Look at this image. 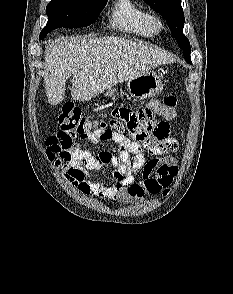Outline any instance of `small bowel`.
<instances>
[{"mask_svg": "<svg viewBox=\"0 0 233 294\" xmlns=\"http://www.w3.org/2000/svg\"><path fill=\"white\" fill-rule=\"evenodd\" d=\"M117 121H108L113 129H125L122 132H110L106 135L94 133L96 139L112 141L119 146V155L101 149L77 150L69 160L50 159L62 170L63 178L76 187L83 195H91L131 205L140 202L146 194H157L171 185L178 172L177 161L170 154L178 149L177 141L170 136L169 120L161 117V110L154 108H117ZM126 119V120H125ZM53 136L46 141V153ZM144 154H154L146 160ZM48 156V155H47ZM111 165L115 172L112 178L96 182L89 174L99 171L103 166ZM142 170L140 180L134 173Z\"/></svg>", "mask_w": 233, "mask_h": 294, "instance_id": "1", "label": "small bowel"}]
</instances>
